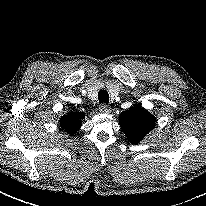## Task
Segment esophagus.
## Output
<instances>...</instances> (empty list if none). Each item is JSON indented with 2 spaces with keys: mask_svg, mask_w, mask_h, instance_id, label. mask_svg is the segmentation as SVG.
<instances>
[{
  "mask_svg": "<svg viewBox=\"0 0 206 206\" xmlns=\"http://www.w3.org/2000/svg\"><path fill=\"white\" fill-rule=\"evenodd\" d=\"M99 111L104 114H108L111 112V107L107 104H101L99 106Z\"/></svg>",
  "mask_w": 206,
  "mask_h": 206,
  "instance_id": "1",
  "label": "esophagus"
}]
</instances>
